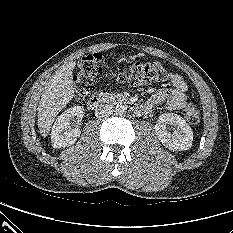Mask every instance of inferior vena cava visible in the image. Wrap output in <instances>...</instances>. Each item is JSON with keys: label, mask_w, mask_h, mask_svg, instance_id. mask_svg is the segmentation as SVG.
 Masks as SVG:
<instances>
[{"label": "inferior vena cava", "mask_w": 233, "mask_h": 233, "mask_svg": "<svg viewBox=\"0 0 233 233\" xmlns=\"http://www.w3.org/2000/svg\"><path fill=\"white\" fill-rule=\"evenodd\" d=\"M112 113H113V109L108 104H101L95 110V116L98 119H107L108 117L111 116Z\"/></svg>", "instance_id": "1"}]
</instances>
